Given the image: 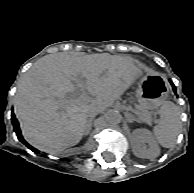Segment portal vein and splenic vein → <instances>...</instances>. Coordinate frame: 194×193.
Segmentation results:
<instances>
[{"label": "portal vein and splenic vein", "mask_w": 194, "mask_h": 193, "mask_svg": "<svg viewBox=\"0 0 194 193\" xmlns=\"http://www.w3.org/2000/svg\"><path fill=\"white\" fill-rule=\"evenodd\" d=\"M78 84H79V86L81 87V83L78 82Z\"/></svg>", "instance_id": "18ae733b"}]
</instances>
